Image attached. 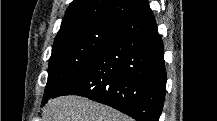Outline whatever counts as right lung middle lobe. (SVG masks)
Here are the masks:
<instances>
[{
	"label": "right lung middle lobe",
	"instance_id": "dd1d6c3e",
	"mask_svg": "<svg viewBox=\"0 0 217 121\" xmlns=\"http://www.w3.org/2000/svg\"><path fill=\"white\" fill-rule=\"evenodd\" d=\"M126 24L113 19L79 24L55 38L43 101L88 67Z\"/></svg>",
	"mask_w": 217,
	"mask_h": 121
}]
</instances>
